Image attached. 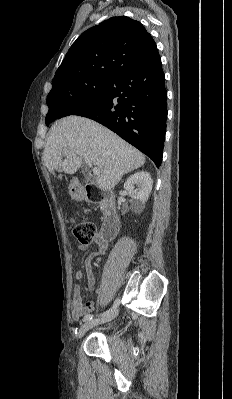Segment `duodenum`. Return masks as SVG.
<instances>
[{"instance_id": "obj_1", "label": "duodenum", "mask_w": 232, "mask_h": 399, "mask_svg": "<svg viewBox=\"0 0 232 399\" xmlns=\"http://www.w3.org/2000/svg\"><path fill=\"white\" fill-rule=\"evenodd\" d=\"M78 194L85 201L101 205L104 215L101 236L106 241L114 239L120 230L114 193L88 184L80 187Z\"/></svg>"}]
</instances>
